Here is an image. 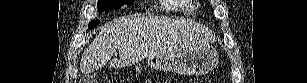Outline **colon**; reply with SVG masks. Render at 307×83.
Here are the masks:
<instances>
[{
  "label": "colon",
  "mask_w": 307,
  "mask_h": 83,
  "mask_svg": "<svg viewBox=\"0 0 307 83\" xmlns=\"http://www.w3.org/2000/svg\"><path fill=\"white\" fill-rule=\"evenodd\" d=\"M152 83H155V81H151ZM211 82V80H209V79H202L201 80V83H210Z\"/></svg>",
  "instance_id": "colon-1"
}]
</instances>
